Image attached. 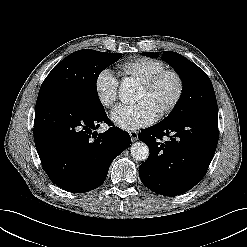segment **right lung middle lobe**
<instances>
[{"instance_id": "obj_1", "label": "right lung middle lobe", "mask_w": 247, "mask_h": 247, "mask_svg": "<svg viewBox=\"0 0 247 247\" xmlns=\"http://www.w3.org/2000/svg\"><path fill=\"white\" fill-rule=\"evenodd\" d=\"M121 55L91 49L73 52L51 70L40 88L38 97L58 94L91 111L102 110L95 83L98 75L119 60Z\"/></svg>"}]
</instances>
